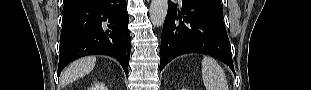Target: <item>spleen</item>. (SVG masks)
Instances as JSON below:
<instances>
[{
	"label": "spleen",
	"instance_id": "obj_1",
	"mask_svg": "<svg viewBox=\"0 0 311 90\" xmlns=\"http://www.w3.org/2000/svg\"><path fill=\"white\" fill-rule=\"evenodd\" d=\"M202 77L206 90H228L224 70L211 57H204L202 60Z\"/></svg>",
	"mask_w": 311,
	"mask_h": 90
}]
</instances>
